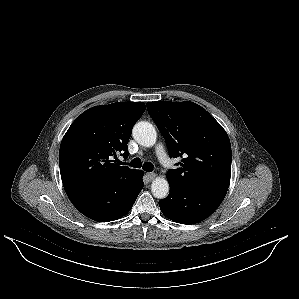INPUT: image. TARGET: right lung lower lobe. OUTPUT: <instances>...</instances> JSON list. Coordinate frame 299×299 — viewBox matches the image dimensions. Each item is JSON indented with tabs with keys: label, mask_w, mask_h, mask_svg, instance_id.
Returning <instances> with one entry per match:
<instances>
[{
	"label": "right lung lower lobe",
	"mask_w": 299,
	"mask_h": 299,
	"mask_svg": "<svg viewBox=\"0 0 299 299\" xmlns=\"http://www.w3.org/2000/svg\"><path fill=\"white\" fill-rule=\"evenodd\" d=\"M140 171L134 185L124 179L107 178L96 182L65 186L72 204L82 214L99 222L116 220L132 208L144 183Z\"/></svg>",
	"instance_id": "right-lung-lower-lobe-1"
}]
</instances>
